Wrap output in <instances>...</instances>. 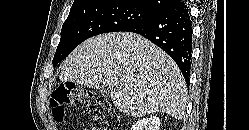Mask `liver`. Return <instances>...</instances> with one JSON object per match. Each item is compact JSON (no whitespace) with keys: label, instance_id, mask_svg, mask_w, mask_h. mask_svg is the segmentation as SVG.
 <instances>
[{"label":"liver","instance_id":"liver-1","mask_svg":"<svg viewBox=\"0 0 249 130\" xmlns=\"http://www.w3.org/2000/svg\"><path fill=\"white\" fill-rule=\"evenodd\" d=\"M60 80L109 87L113 104L133 117L163 112L181 119L185 113L187 88L180 69L137 34L107 33L84 41L65 60Z\"/></svg>","mask_w":249,"mask_h":130}]
</instances>
